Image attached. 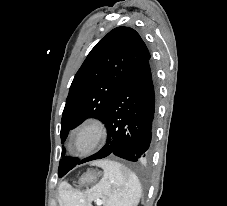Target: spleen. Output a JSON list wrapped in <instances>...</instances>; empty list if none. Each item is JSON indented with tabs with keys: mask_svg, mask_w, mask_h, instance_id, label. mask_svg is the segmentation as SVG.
Listing matches in <instances>:
<instances>
[{
	"mask_svg": "<svg viewBox=\"0 0 227 206\" xmlns=\"http://www.w3.org/2000/svg\"><path fill=\"white\" fill-rule=\"evenodd\" d=\"M104 170L99 184L85 193L74 191L68 186L60 191L63 206H87L85 201L102 198L104 206H137L142 189L138 177L129 169L115 161L96 163Z\"/></svg>",
	"mask_w": 227,
	"mask_h": 206,
	"instance_id": "1",
	"label": "spleen"
}]
</instances>
